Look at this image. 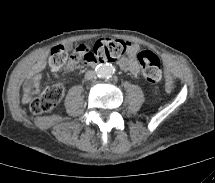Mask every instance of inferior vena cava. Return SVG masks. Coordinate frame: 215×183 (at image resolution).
<instances>
[{"instance_id":"inferior-vena-cava-1","label":"inferior vena cava","mask_w":215,"mask_h":183,"mask_svg":"<svg viewBox=\"0 0 215 183\" xmlns=\"http://www.w3.org/2000/svg\"><path fill=\"white\" fill-rule=\"evenodd\" d=\"M85 78H86L87 80L95 79V78H96V72L93 71V70L87 71L86 74H85Z\"/></svg>"}]
</instances>
